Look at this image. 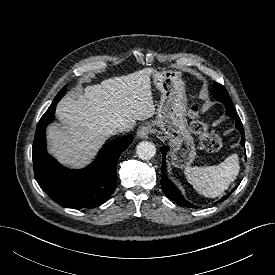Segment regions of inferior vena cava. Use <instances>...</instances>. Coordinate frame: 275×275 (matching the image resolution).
Here are the masks:
<instances>
[{"label":"inferior vena cava","instance_id":"obj_1","mask_svg":"<svg viewBox=\"0 0 275 275\" xmlns=\"http://www.w3.org/2000/svg\"><path fill=\"white\" fill-rule=\"evenodd\" d=\"M132 127L126 124H120L116 127L117 132H128Z\"/></svg>","mask_w":275,"mask_h":275}]
</instances>
